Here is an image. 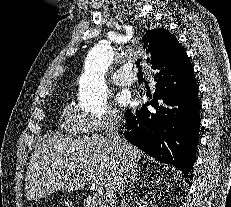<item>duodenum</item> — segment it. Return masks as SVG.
Listing matches in <instances>:
<instances>
[{
	"label": "duodenum",
	"instance_id": "1",
	"mask_svg": "<svg viewBox=\"0 0 231 207\" xmlns=\"http://www.w3.org/2000/svg\"><path fill=\"white\" fill-rule=\"evenodd\" d=\"M84 207H107V206H100L93 197L87 196L84 199Z\"/></svg>",
	"mask_w": 231,
	"mask_h": 207
}]
</instances>
